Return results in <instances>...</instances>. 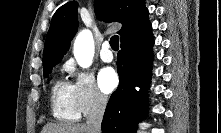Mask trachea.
<instances>
[{
	"label": "trachea",
	"instance_id": "3493384b",
	"mask_svg": "<svg viewBox=\"0 0 221 133\" xmlns=\"http://www.w3.org/2000/svg\"><path fill=\"white\" fill-rule=\"evenodd\" d=\"M110 45L114 51H117L119 49V37L117 35L111 37Z\"/></svg>",
	"mask_w": 221,
	"mask_h": 133
}]
</instances>
